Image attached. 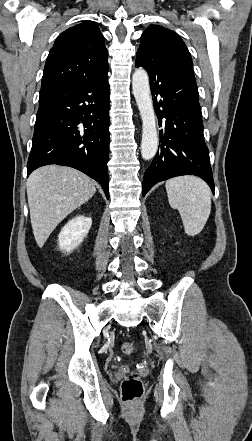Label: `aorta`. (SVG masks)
Wrapping results in <instances>:
<instances>
[{"instance_id": "aorta-1", "label": "aorta", "mask_w": 252, "mask_h": 441, "mask_svg": "<svg viewBox=\"0 0 252 441\" xmlns=\"http://www.w3.org/2000/svg\"><path fill=\"white\" fill-rule=\"evenodd\" d=\"M132 89L142 118L141 155L143 159L150 160L158 149V134L149 77L144 69L135 70L132 76Z\"/></svg>"}]
</instances>
